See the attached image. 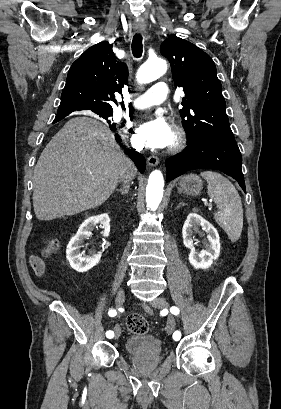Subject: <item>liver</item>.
I'll use <instances>...</instances> for the list:
<instances>
[{
	"instance_id": "6515ba94",
	"label": "liver",
	"mask_w": 281,
	"mask_h": 409,
	"mask_svg": "<svg viewBox=\"0 0 281 409\" xmlns=\"http://www.w3.org/2000/svg\"><path fill=\"white\" fill-rule=\"evenodd\" d=\"M130 160L110 128L75 116L54 134L34 168L33 207L39 221L76 215L102 205Z\"/></svg>"
}]
</instances>
